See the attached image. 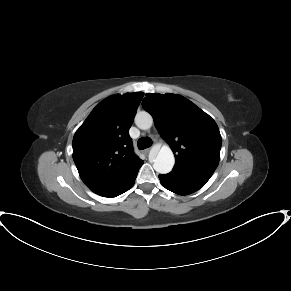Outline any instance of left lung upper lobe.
<instances>
[{
	"mask_svg": "<svg viewBox=\"0 0 291 291\" xmlns=\"http://www.w3.org/2000/svg\"><path fill=\"white\" fill-rule=\"evenodd\" d=\"M142 105L175 155L172 171L210 178L218 166L222 145L215 121L176 94H147Z\"/></svg>",
	"mask_w": 291,
	"mask_h": 291,
	"instance_id": "5c2ea615",
	"label": "left lung upper lobe"
}]
</instances>
